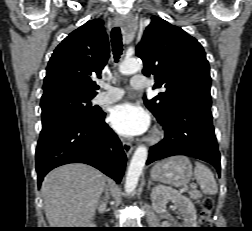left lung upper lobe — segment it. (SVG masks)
Wrapping results in <instances>:
<instances>
[{"instance_id":"5c2ea615","label":"left lung upper lobe","mask_w":252,"mask_h":231,"mask_svg":"<svg viewBox=\"0 0 252 231\" xmlns=\"http://www.w3.org/2000/svg\"><path fill=\"white\" fill-rule=\"evenodd\" d=\"M136 55L143 60V74L154 75L155 88L165 87L147 108L161 119L179 101L195 98L211 103L209 63L202 45L181 28L153 16ZM157 101V102H156Z\"/></svg>"}]
</instances>
